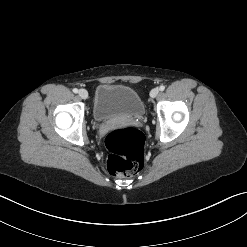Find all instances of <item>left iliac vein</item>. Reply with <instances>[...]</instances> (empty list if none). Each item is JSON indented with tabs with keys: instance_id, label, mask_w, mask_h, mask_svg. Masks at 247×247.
Here are the masks:
<instances>
[{
	"instance_id": "left-iliac-vein-1",
	"label": "left iliac vein",
	"mask_w": 247,
	"mask_h": 247,
	"mask_svg": "<svg viewBox=\"0 0 247 247\" xmlns=\"http://www.w3.org/2000/svg\"><path fill=\"white\" fill-rule=\"evenodd\" d=\"M158 93H159V89H158V88H154V89H152V90L150 91V96H151L152 98H155V97L158 95Z\"/></svg>"
}]
</instances>
